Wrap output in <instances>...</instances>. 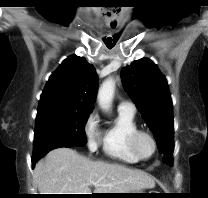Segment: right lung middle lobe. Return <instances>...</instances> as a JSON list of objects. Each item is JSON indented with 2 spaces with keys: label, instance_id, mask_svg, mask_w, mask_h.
I'll use <instances>...</instances> for the list:
<instances>
[{
  "label": "right lung middle lobe",
  "instance_id": "obj_1",
  "mask_svg": "<svg viewBox=\"0 0 208 198\" xmlns=\"http://www.w3.org/2000/svg\"><path fill=\"white\" fill-rule=\"evenodd\" d=\"M90 113L91 111L68 107L38 110L34 154L43 153L45 148L57 142L84 146L87 143L84 126Z\"/></svg>",
  "mask_w": 208,
  "mask_h": 198
}]
</instances>
